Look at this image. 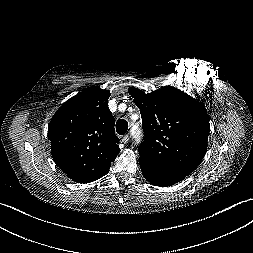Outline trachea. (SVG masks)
Returning a JSON list of instances; mask_svg holds the SVG:
<instances>
[{
    "mask_svg": "<svg viewBox=\"0 0 253 253\" xmlns=\"http://www.w3.org/2000/svg\"><path fill=\"white\" fill-rule=\"evenodd\" d=\"M128 129V122L124 119H119L116 122V131L119 135H124Z\"/></svg>",
    "mask_w": 253,
    "mask_h": 253,
    "instance_id": "trachea-1",
    "label": "trachea"
}]
</instances>
